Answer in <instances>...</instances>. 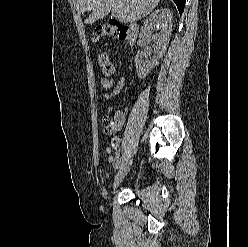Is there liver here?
<instances>
[{
	"instance_id": "obj_1",
	"label": "liver",
	"mask_w": 248,
	"mask_h": 247,
	"mask_svg": "<svg viewBox=\"0 0 248 247\" xmlns=\"http://www.w3.org/2000/svg\"><path fill=\"white\" fill-rule=\"evenodd\" d=\"M160 0H74L79 13L92 11L85 19V24L106 17L110 12L117 13L120 21L130 23L149 14Z\"/></svg>"
}]
</instances>
